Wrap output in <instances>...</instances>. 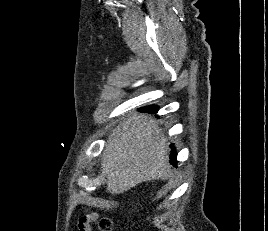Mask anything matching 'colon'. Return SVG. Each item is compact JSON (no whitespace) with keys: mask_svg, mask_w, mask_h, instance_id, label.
<instances>
[{"mask_svg":"<svg viewBox=\"0 0 268 231\" xmlns=\"http://www.w3.org/2000/svg\"><path fill=\"white\" fill-rule=\"evenodd\" d=\"M90 217L87 218V221H90ZM98 231H114L113 221L109 217H100L97 225Z\"/></svg>","mask_w":268,"mask_h":231,"instance_id":"obj_1","label":"colon"}]
</instances>
